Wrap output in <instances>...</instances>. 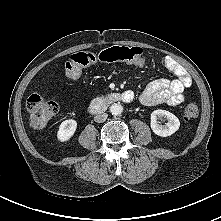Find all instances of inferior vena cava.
<instances>
[{
    "label": "inferior vena cava",
    "instance_id": "inferior-vena-cava-1",
    "mask_svg": "<svg viewBox=\"0 0 221 221\" xmlns=\"http://www.w3.org/2000/svg\"><path fill=\"white\" fill-rule=\"evenodd\" d=\"M107 117H108L107 113L97 114L94 117V121L97 123H102V122L106 121Z\"/></svg>",
    "mask_w": 221,
    "mask_h": 221
}]
</instances>
